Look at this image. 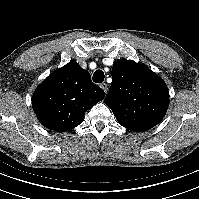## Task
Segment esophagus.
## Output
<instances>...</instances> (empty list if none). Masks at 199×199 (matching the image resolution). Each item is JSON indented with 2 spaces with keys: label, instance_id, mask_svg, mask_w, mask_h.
<instances>
[{
  "label": "esophagus",
  "instance_id": "obj_1",
  "mask_svg": "<svg viewBox=\"0 0 199 199\" xmlns=\"http://www.w3.org/2000/svg\"><path fill=\"white\" fill-rule=\"evenodd\" d=\"M100 87L104 90V92L106 93L108 90V85L106 83H101Z\"/></svg>",
  "mask_w": 199,
  "mask_h": 199
}]
</instances>
